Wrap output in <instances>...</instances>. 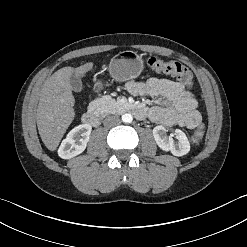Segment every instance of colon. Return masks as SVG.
Wrapping results in <instances>:
<instances>
[{
    "label": "colon",
    "instance_id": "obj_1",
    "mask_svg": "<svg viewBox=\"0 0 247 247\" xmlns=\"http://www.w3.org/2000/svg\"><path fill=\"white\" fill-rule=\"evenodd\" d=\"M148 66L155 73H164L176 77L186 86H191L193 83L191 71L177 61H164L156 57H151L148 60ZM204 132V126L199 124L191 134V141L195 144L200 143L204 137Z\"/></svg>",
    "mask_w": 247,
    "mask_h": 247
}]
</instances>
